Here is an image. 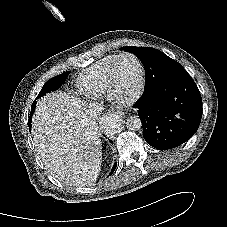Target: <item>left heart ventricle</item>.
I'll return each instance as SVG.
<instances>
[{
  "label": "left heart ventricle",
  "instance_id": "left-heart-ventricle-1",
  "mask_svg": "<svg viewBox=\"0 0 227 227\" xmlns=\"http://www.w3.org/2000/svg\"><path fill=\"white\" fill-rule=\"evenodd\" d=\"M140 72L131 57H124L115 67L116 93L121 98H130L139 86Z\"/></svg>",
  "mask_w": 227,
  "mask_h": 227
}]
</instances>
